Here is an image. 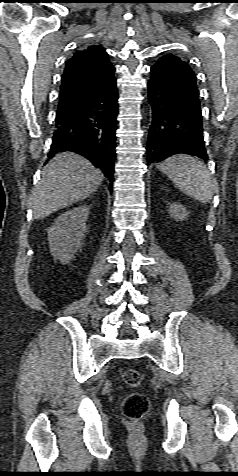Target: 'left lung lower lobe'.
Returning <instances> with one entry per match:
<instances>
[{"label": "left lung lower lobe", "mask_w": 238, "mask_h": 476, "mask_svg": "<svg viewBox=\"0 0 238 476\" xmlns=\"http://www.w3.org/2000/svg\"><path fill=\"white\" fill-rule=\"evenodd\" d=\"M147 86L152 110L147 141L148 164L175 154L208 159L198 95L184 90L155 67H151Z\"/></svg>", "instance_id": "1"}]
</instances>
